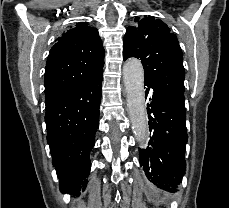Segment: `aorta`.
<instances>
[{
  "label": "aorta",
  "instance_id": "obj_1",
  "mask_svg": "<svg viewBox=\"0 0 229 208\" xmlns=\"http://www.w3.org/2000/svg\"><path fill=\"white\" fill-rule=\"evenodd\" d=\"M123 80L133 133L137 141L143 144L148 137V122L144 96V69L140 60L131 58L125 62Z\"/></svg>",
  "mask_w": 229,
  "mask_h": 208
}]
</instances>
